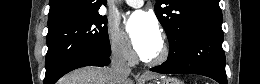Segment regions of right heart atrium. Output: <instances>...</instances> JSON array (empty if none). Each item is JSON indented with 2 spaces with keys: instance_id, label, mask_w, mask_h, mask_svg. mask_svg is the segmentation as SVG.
Returning a JSON list of instances; mask_svg holds the SVG:
<instances>
[{
  "instance_id": "right-heart-atrium-1",
  "label": "right heart atrium",
  "mask_w": 260,
  "mask_h": 84,
  "mask_svg": "<svg viewBox=\"0 0 260 84\" xmlns=\"http://www.w3.org/2000/svg\"><path fill=\"white\" fill-rule=\"evenodd\" d=\"M108 46L112 57L117 61L126 64L133 62L134 53L119 29L114 25H110L108 28Z\"/></svg>"
}]
</instances>
